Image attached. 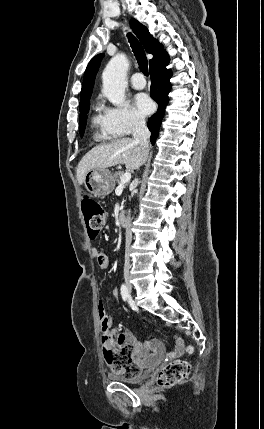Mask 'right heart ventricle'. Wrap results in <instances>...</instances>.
Masks as SVG:
<instances>
[{"instance_id":"1","label":"right heart ventricle","mask_w":264,"mask_h":429,"mask_svg":"<svg viewBox=\"0 0 264 429\" xmlns=\"http://www.w3.org/2000/svg\"><path fill=\"white\" fill-rule=\"evenodd\" d=\"M92 127L94 138L98 141H109L117 137L107 126L104 115L99 112V108L92 117Z\"/></svg>"}]
</instances>
